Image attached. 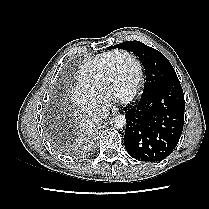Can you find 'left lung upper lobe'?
Returning a JSON list of instances; mask_svg holds the SVG:
<instances>
[{"instance_id":"left-lung-upper-lobe-1","label":"left lung upper lobe","mask_w":209,"mask_h":209,"mask_svg":"<svg viewBox=\"0 0 209 209\" xmlns=\"http://www.w3.org/2000/svg\"><path fill=\"white\" fill-rule=\"evenodd\" d=\"M115 47L131 51L140 58L146 74L143 94L166 82L178 80L171 63L156 49L139 41H126L115 45Z\"/></svg>"}]
</instances>
